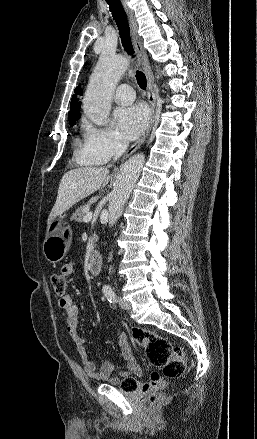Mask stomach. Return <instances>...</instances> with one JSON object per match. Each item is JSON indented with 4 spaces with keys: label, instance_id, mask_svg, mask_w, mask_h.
I'll return each instance as SVG.
<instances>
[{
    "label": "stomach",
    "instance_id": "0dacf381",
    "mask_svg": "<svg viewBox=\"0 0 257 439\" xmlns=\"http://www.w3.org/2000/svg\"><path fill=\"white\" fill-rule=\"evenodd\" d=\"M72 240V230L64 217L57 216L47 226L43 243V253L51 263H57L68 252Z\"/></svg>",
    "mask_w": 257,
    "mask_h": 439
}]
</instances>
